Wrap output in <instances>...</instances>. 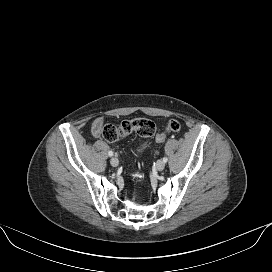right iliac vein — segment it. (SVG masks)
Returning a JSON list of instances; mask_svg holds the SVG:
<instances>
[{
  "instance_id": "63e3f726",
  "label": "right iliac vein",
  "mask_w": 272,
  "mask_h": 272,
  "mask_svg": "<svg viewBox=\"0 0 272 272\" xmlns=\"http://www.w3.org/2000/svg\"><path fill=\"white\" fill-rule=\"evenodd\" d=\"M110 163L113 167H117L119 165V160L116 157H112Z\"/></svg>"
}]
</instances>
